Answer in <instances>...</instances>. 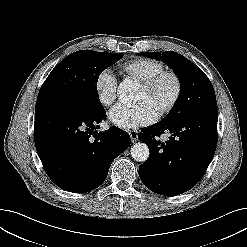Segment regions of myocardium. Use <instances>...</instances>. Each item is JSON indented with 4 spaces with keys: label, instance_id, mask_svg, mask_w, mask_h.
<instances>
[{
    "label": "myocardium",
    "instance_id": "myocardium-1",
    "mask_svg": "<svg viewBox=\"0 0 247 247\" xmlns=\"http://www.w3.org/2000/svg\"><path fill=\"white\" fill-rule=\"evenodd\" d=\"M167 77L171 78L174 81L175 90L171 99L159 109L158 111L159 116H164L170 113L179 102L183 93V81L181 77L179 76V74H177L174 71L163 70L141 82V86L147 92H150L162 79Z\"/></svg>",
    "mask_w": 247,
    "mask_h": 247
}]
</instances>
